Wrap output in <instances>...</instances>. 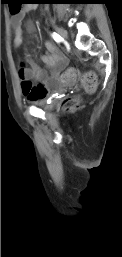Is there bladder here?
Listing matches in <instances>:
<instances>
[{
  "mask_svg": "<svg viewBox=\"0 0 122 257\" xmlns=\"http://www.w3.org/2000/svg\"><path fill=\"white\" fill-rule=\"evenodd\" d=\"M35 106L42 108V109H47L48 108V104H47V100L45 98L43 99H39V100H33L31 101Z\"/></svg>",
  "mask_w": 122,
  "mask_h": 257,
  "instance_id": "obj_1",
  "label": "bladder"
}]
</instances>
